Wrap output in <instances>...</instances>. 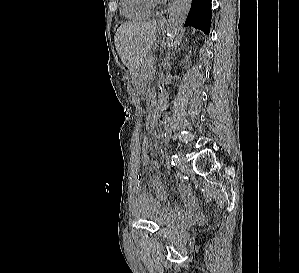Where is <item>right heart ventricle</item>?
Segmentation results:
<instances>
[{
    "mask_svg": "<svg viewBox=\"0 0 299 273\" xmlns=\"http://www.w3.org/2000/svg\"><path fill=\"white\" fill-rule=\"evenodd\" d=\"M121 13L126 19L139 21L150 17L152 9L143 0H121Z\"/></svg>",
    "mask_w": 299,
    "mask_h": 273,
    "instance_id": "obj_1",
    "label": "right heart ventricle"
}]
</instances>
